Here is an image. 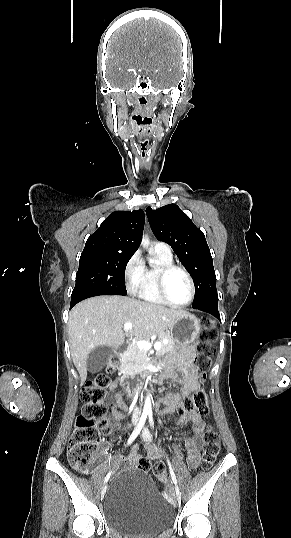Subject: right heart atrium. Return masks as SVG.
<instances>
[{
  "label": "right heart atrium",
  "mask_w": 291,
  "mask_h": 538,
  "mask_svg": "<svg viewBox=\"0 0 291 538\" xmlns=\"http://www.w3.org/2000/svg\"><path fill=\"white\" fill-rule=\"evenodd\" d=\"M144 268V262L138 251L133 253L127 260L123 274L126 288L131 294L138 292L143 279Z\"/></svg>",
  "instance_id": "1"
}]
</instances>
